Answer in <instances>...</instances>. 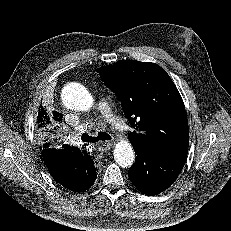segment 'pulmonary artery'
<instances>
[{"mask_svg": "<svg viewBox=\"0 0 231 231\" xmlns=\"http://www.w3.org/2000/svg\"><path fill=\"white\" fill-rule=\"evenodd\" d=\"M97 109L106 117H110V121L117 127L119 128L121 126V121L119 118L115 116L113 111L111 110L110 106L108 105L107 102L105 101H98L97 104Z\"/></svg>", "mask_w": 231, "mask_h": 231, "instance_id": "obj_1", "label": "pulmonary artery"}]
</instances>
